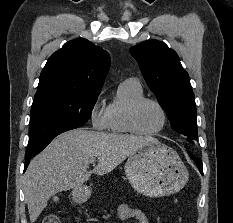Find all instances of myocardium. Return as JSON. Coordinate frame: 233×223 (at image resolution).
Masks as SVG:
<instances>
[{"label": "myocardium", "mask_w": 233, "mask_h": 223, "mask_svg": "<svg viewBox=\"0 0 233 223\" xmlns=\"http://www.w3.org/2000/svg\"><path fill=\"white\" fill-rule=\"evenodd\" d=\"M154 103L155 105H157L160 110L162 111L163 117H164V124L162 126V128L156 132H152V133H147L144 132L138 123V116H139V112L140 109L142 108V106L145 103ZM128 123H129V127L132 130L133 133L140 135V136H144V137H152V136H158L160 134H162L168 127L169 125V114L166 110V108L164 107V105L158 101L155 98H151V97H142L138 100H136L130 107L129 112H128Z\"/></svg>", "instance_id": "f54148a6"}]
</instances>
